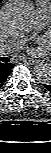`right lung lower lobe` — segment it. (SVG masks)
Wrapping results in <instances>:
<instances>
[{
	"mask_svg": "<svg viewBox=\"0 0 51 153\" xmlns=\"http://www.w3.org/2000/svg\"><path fill=\"white\" fill-rule=\"evenodd\" d=\"M12 67L13 64L11 63H5V64L0 63V88L8 78Z\"/></svg>",
	"mask_w": 51,
	"mask_h": 153,
	"instance_id": "1",
	"label": "right lung lower lobe"
}]
</instances>
